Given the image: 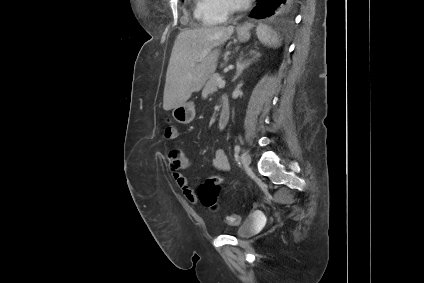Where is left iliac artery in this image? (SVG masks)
Returning a JSON list of instances; mask_svg holds the SVG:
<instances>
[{
  "instance_id": "obj_1",
  "label": "left iliac artery",
  "mask_w": 424,
  "mask_h": 283,
  "mask_svg": "<svg viewBox=\"0 0 424 283\" xmlns=\"http://www.w3.org/2000/svg\"><path fill=\"white\" fill-rule=\"evenodd\" d=\"M240 146L239 145H235V147H234V151H235V156L237 157L238 156V154H239V152H240Z\"/></svg>"
}]
</instances>
